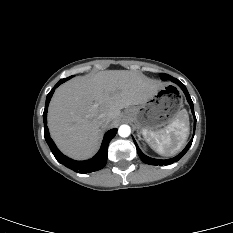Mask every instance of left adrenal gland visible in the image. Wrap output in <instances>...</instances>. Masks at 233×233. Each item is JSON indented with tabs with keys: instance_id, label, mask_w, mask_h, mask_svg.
I'll return each mask as SVG.
<instances>
[{
	"instance_id": "obj_1",
	"label": "left adrenal gland",
	"mask_w": 233,
	"mask_h": 233,
	"mask_svg": "<svg viewBox=\"0 0 233 233\" xmlns=\"http://www.w3.org/2000/svg\"><path fill=\"white\" fill-rule=\"evenodd\" d=\"M139 139H141L140 135H138Z\"/></svg>"
}]
</instances>
